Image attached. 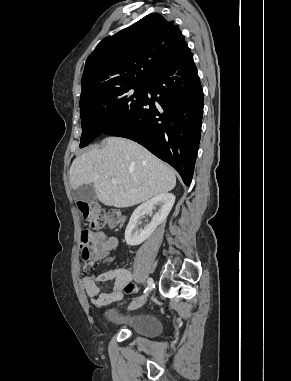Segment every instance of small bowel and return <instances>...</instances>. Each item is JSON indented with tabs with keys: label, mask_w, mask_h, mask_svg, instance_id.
Masks as SVG:
<instances>
[{
	"label": "small bowel",
	"mask_w": 291,
	"mask_h": 381,
	"mask_svg": "<svg viewBox=\"0 0 291 381\" xmlns=\"http://www.w3.org/2000/svg\"><path fill=\"white\" fill-rule=\"evenodd\" d=\"M91 243L95 257L104 256L107 251L113 248L116 240L103 232H95L91 235ZM132 280V273L125 268H113L101 272L97 276H86L82 280L86 294L95 305L102 306L119 301L123 298L124 287ZM113 281L110 290L100 293L97 282Z\"/></svg>",
	"instance_id": "small-bowel-1"
}]
</instances>
